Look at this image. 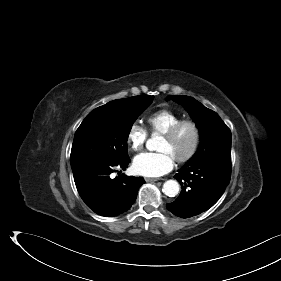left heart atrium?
Returning <instances> with one entry per match:
<instances>
[{
  "label": "left heart atrium",
  "instance_id": "obj_1",
  "mask_svg": "<svg viewBox=\"0 0 281 281\" xmlns=\"http://www.w3.org/2000/svg\"><path fill=\"white\" fill-rule=\"evenodd\" d=\"M174 161L167 151L143 152L134 158L133 169L142 176L159 177L172 170Z\"/></svg>",
  "mask_w": 281,
  "mask_h": 281
}]
</instances>
